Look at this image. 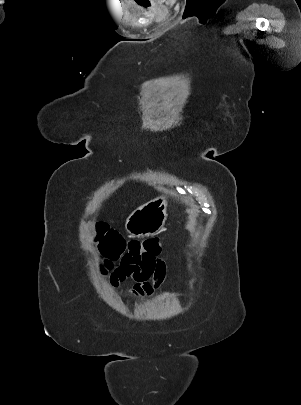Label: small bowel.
<instances>
[{"label": "small bowel", "instance_id": "c3829d8e", "mask_svg": "<svg viewBox=\"0 0 301 405\" xmlns=\"http://www.w3.org/2000/svg\"><path fill=\"white\" fill-rule=\"evenodd\" d=\"M159 255L127 256L120 259L119 264L111 270L106 265L103 273L115 288L132 277L135 284L129 289V293L138 299L150 297L161 287L166 273L165 262Z\"/></svg>", "mask_w": 301, "mask_h": 405}]
</instances>
